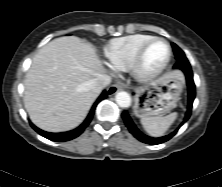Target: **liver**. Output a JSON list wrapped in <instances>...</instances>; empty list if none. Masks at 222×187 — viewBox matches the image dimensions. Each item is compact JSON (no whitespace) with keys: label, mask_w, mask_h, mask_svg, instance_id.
Wrapping results in <instances>:
<instances>
[{"label":"liver","mask_w":222,"mask_h":187,"mask_svg":"<svg viewBox=\"0 0 222 187\" xmlns=\"http://www.w3.org/2000/svg\"><path fill=\"white\" fill-rule=\"evenodd\" d=\"M104 72L94 47L75 36L42 47L26 74L24 106L43 130L63 132L85 119L97 98L90 83Z\"/></svg>","instance_id":"1"}]
</instances>
